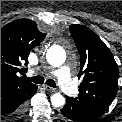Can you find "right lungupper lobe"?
Returning <instances> with one entry per match:
<instances>
[{"mask_svg":"<svg viewBox=\"0 0 122 122\" xmlns=\"http://www.w3.org/2000/svg\"><path fill=\"white\" fill-rule=\"evenodd\" d=\"M34 21L15 20L1 28V90H27L35 85L17 76L25 71L29 52L45 39Z\"/></svg>","mask_w":122,"mask_h":122,"instance_id":"right-lung-upper-lobe-1","label":"right lung upper lobe"}]
</instances>
